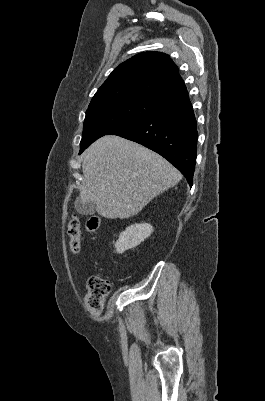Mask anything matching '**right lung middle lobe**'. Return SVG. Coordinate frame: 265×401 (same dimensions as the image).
<instances>
[{
	"instance_id": "obj_1",
	"label": "right lung middle lobe",
	"mask_w": 265,
	"mask_h": 401,
	"mask_svg": "<svg viewBox=\"0 0 265 401\" xmlns=\"http://www.w3.org/2000/svg\"><path fill=\"white\" fill-rule=\"evenodd\" d=\"M162 107L146 100H123L89 106L83 125L80 153L98 138L132 124Z\"/></svg>"
}]
</instances>
